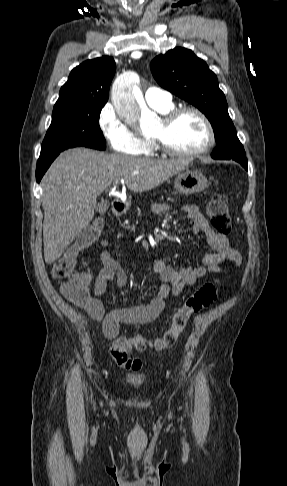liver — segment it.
Wrapping results in <instances>:
<instances>
[{
  "label": "liver",
  "mask_w": 287,
  "mask_h": 486,
  "mask_svg": "<svg viewBox=\"0 0 287 486\" xmlns=\"http://www.w3.org/2000/svg\"><path fill=\"white\" fill-rule=\"evenodd\" d=\"M188 160H154L85 148L62 152L44 175V258L53 263L94 217L96 199L124 179L133 192L150 190L182 172Z\"/></svg>",
  "instance_id": "liver-1"
}]
</instances>
